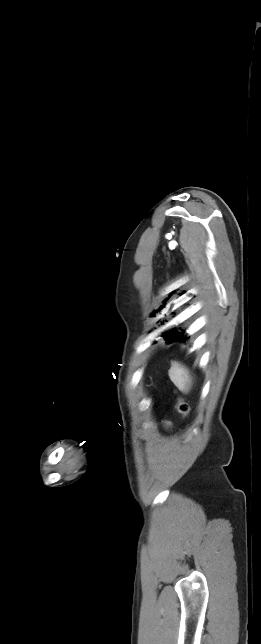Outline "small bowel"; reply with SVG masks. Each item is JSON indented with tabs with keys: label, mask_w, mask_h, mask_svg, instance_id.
<instances>
[{
	"label": "small bowel",
	"mask_w": 261,
	"mask_h": 644,
	"mask_svg": "<svg viewBox=\"0 0 261 644\" xmlns=\"http://www.w3.org/2000/svg\"><path fill=\"white\" fill-rule=\"evenodd\" d=\"M166 426H167V427H169V426H170V424H169V423H166Z\"/></svg>",
	"instance_id": "obj_1"
}]
</instances>
